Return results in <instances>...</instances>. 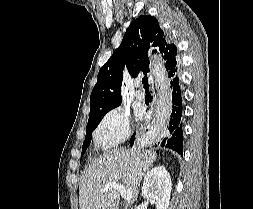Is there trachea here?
I'll return each instance as SVG.
<instances>
[{
  "label": "trachea",
  "mask_w": 253,
  "mask_h": 209,
  "mask_svg": "<svg viewBox=\"0 0 253 209\" xmlns=\"http://www.w3.org/2000/svg\"><path fill=\"white\" fill-rule=\"evenodd\" d=\"M142 83L144 85L145 90H149V85H148V77L144 76V78L142 79Z\"/></svg>",
  "instance_id": "1"
}]
</instances>
